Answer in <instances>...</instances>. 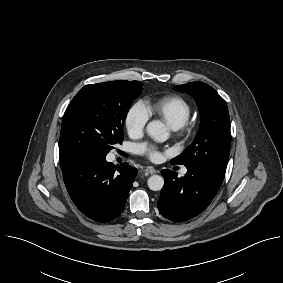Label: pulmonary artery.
Instances as JSON below:
<instances>
[{
    "label": "pulmonary artery",
    "mask_w": 283,
    "mask_h": 283,
    "mask_svg": "<svg viewBox=\"0 0 283 283\" xmlns=\"http://www.w3.org/2000/svg\"><path fill=\"white\" fill-rule=\"evenodd\" d=\"M186 172H187V169H186V168H183V169H182V173L185 174Z\"/></svg>",
    "instance_id": "e3ab8cb5"
}]
</instances>
